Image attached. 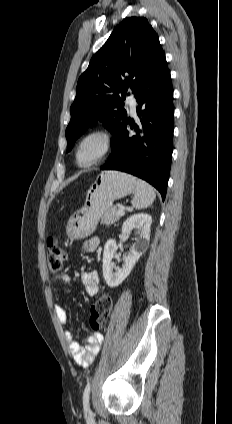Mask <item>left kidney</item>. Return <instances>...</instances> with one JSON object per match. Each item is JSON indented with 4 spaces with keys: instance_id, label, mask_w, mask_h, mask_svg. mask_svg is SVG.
I'll return each instance as SVG.
<instances>
[{
    "instance_id": "5707ae66",
    "label": "left kidney",
    "mask_w": 232,
    "mask_h": 424,
    "mask_svg": "<svg viewBox=\"0 0 232 424\" xmlns=\"http://www.w3.org/2000/svg\"><path fill=\"white\" fill-rule=\"evenodd\" d=\"M152 217L147 213H138L130 216L122 226V235L128 236L135 230L138 237L130 248V252L124 258L121 268L113 271L112 259L117 250L116 240L110 239L106 242L103 252V276L107 285L111 288L119 286L130 274L134 265L146 251L150 240V227Z\"/></svg>"
}]
</instances>
